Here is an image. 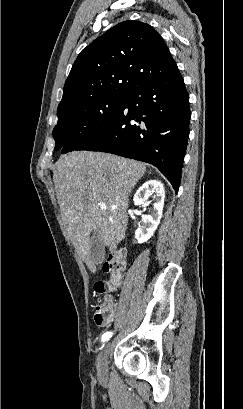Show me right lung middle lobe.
Here are the masks:
<instances>
[{
	"instance_id": "1",
	"label": "right lung middle lobe",
	"mask_w": 243,
	"mask_h": 409,
	"mask_svg": "<svg viewBox=\"0 0 243 409\" xmlns=\"http://www.w3.org/2000/svg\"><path fill=\"white\" fill-rule=\"evenodd\" d=\"M126 96H103L57 111L53 129L55 150L73 151L83 140L107 127L123 106Z\"/></svg>"
}]
</instances>
